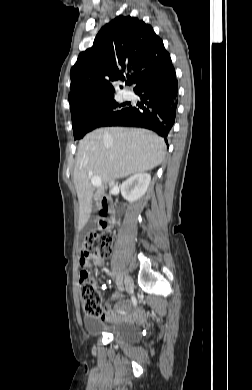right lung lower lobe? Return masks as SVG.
Returning a JSON list of instances; mask_svg holds the SVG:
<instances>
[{
	"label": "right lung lower lobe",
	"mask_w": 252,
	"mask_h": 390,
	"mask_svg": "<svg viewBox=\"0 0 252 390\" xmlns=\"http://www.w3.org/2000/svg\"><path fill=\"white\" fill-rule=\"evenodd\" d=\"M135 92L141 95L147 108L140 111L130 106L125 113L107 126L147 128L162 136L168 145L167 136L175 122L178 104V81L175 71L147 80Z\"/></svg>",
	"instance_id": "1"
}]
</instances>
